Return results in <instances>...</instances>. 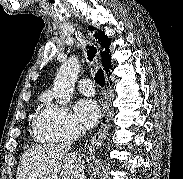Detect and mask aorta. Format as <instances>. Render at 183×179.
<instances>
[{
    "instance_id": "762f6f07",
    "label": "aorta",
    "mask_w": 183,
    "mask_h": 179,
    "mask_svg": "<svg viewBox=\"0 0 183 179\" xmlns=\"http://www.w3.org/2000/svg\"><path fill=\"white\" fill-rule=\"evenodd\" d=\"M79 70L80 63L75 57L69 58L60 66L53 88L54 98L59 105L67 106L71 101Z\"/></svg>"
}]
</instances>
